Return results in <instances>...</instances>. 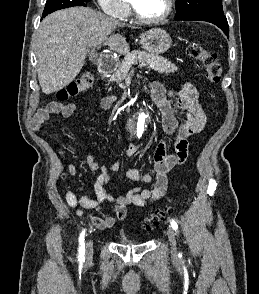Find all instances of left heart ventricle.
Wrapping results in <instances>:
<instances>
[{
    "mask_svg": "<svg viewBox=\"0 0 259 294\" xmlns=\"http://www.w3.org/2000/svg\"><path fill=\"white\" fill-rule=\"evenodd\" d=\"M137 11L148 18L163 14L166 8L165 0H130Z\"/></svg>",
    "mask_w": 259,
    "mask_h": 294,
    "instance_id": "1",
    "label": "left heart ventricle"
}]
</instances>
